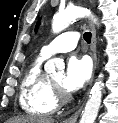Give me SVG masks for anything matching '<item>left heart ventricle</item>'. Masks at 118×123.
Segmentation results:
<instances>
[{
    "label": "left heart ventricle",
    "mask_w": 118,
    "mask_h": 123,
    "mask_svg": "<svg viewBox=\"0 0 118 123\" xmlns=\"http://www.w3.org/2000/svg\"><path fill=\"white\" fill-rule=\"evenodd\" d=\"M62 80H63L62 75L56 76L52 79V81L60 87L62 86Z\"/></svg>",
    "instance_id": "b2bd125f"
}]
</instances>
